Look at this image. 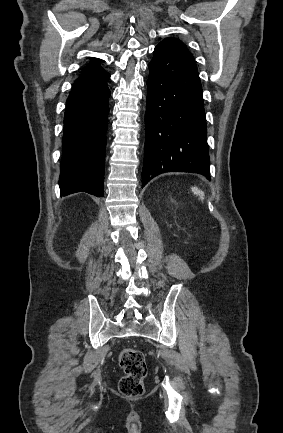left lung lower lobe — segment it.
Listing matches in <instances>:
<instances>
[{"label": "left lung lower lobe", "mask_w": 283, "mask_h": 433, "mask_svg": "<svg viewBox=\"0 0 283 433\" xmlns=\"http://www.w3.org/2000/svg\"><path fill=\"white\" fill-rule=\"evenodd\" d=\"M149 70L142 187L174 171L210 179L202 87L193 56L184 46L159 44Z\"/></svg>", "instance_id": "0a47b994"}]
</instances>
